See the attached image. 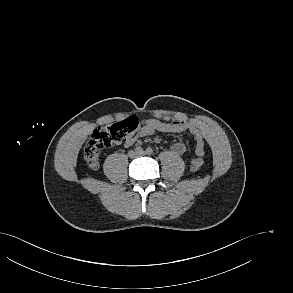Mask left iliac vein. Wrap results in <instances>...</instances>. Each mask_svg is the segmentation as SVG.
<instances>
[{"instance_id":"obj_1","label":"left iliac vein","mask_w":293,"mask_h":293,"mask_svg":"<svg viewBox=\"0 0 293 293\" xmlns=\"http://www.w3.org/2000/svg\"><path fill=\"white\" fill-rule=\"evenodd\" d=\"M138 155L139 156H143V155H145V152L144 151H141V152L138 153Z\"/></svg>"}]
</instances>
